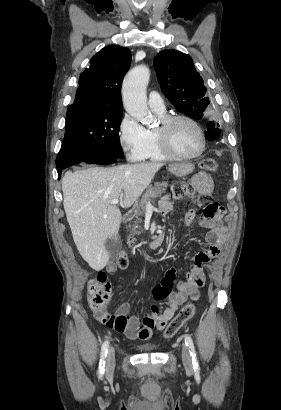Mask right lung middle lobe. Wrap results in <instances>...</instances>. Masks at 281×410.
Wrapping results in <instances>:
<instances>
[{
  "instance_id": "right-lung-middle-lobe-1",
  "label": "right lung middle lobe",
  "mask_w": 281,
  "mask_h": 410,
  "mask_svg": "<svg viewBox=\"0 0 281 410\" xmlns=\"http://www.w3.org/2000/svg\"><path fill=\"white\" fill-rule=\"evenodd\" d=\"M121 118L122 110L69 106L57 168L74 158L123 156L118 136Z\"/></svg>"
}]
</instances>
